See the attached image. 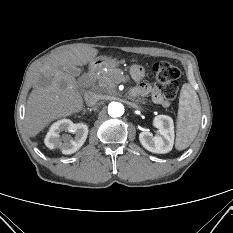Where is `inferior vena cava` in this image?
Wrapping results in <instances>:
<instances>
[{"label":"inferior vena cava","mask_w":233,"mask_h":233,"mask_svg":"<svg viewBox=\"0 0 233 233\" xmlns=\"http://www.w3.org/2000/svg\"><path fill=\"white\" fill-rule=\"evenodd\" d=\"M100 96L96 93L89 92L85 95V100L88 106H95L99 101Z\"/></svg>","instance_id":"inferior-vena-cava-1"}]
</instances>
